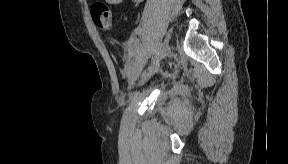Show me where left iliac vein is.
Listing matches in <instances>:
<instances>
[{
    "label": "left iliac vein",
    "instance_id": "obj_1",
    "mask_svg": "<svg viewBox=\"0 0 288 164\" xmlns=\"http://www.w3.org/2000/svg\"><path fill=\"white\" fill-rule=\"evenodd\" d=\"M136 80H137V76H136V75L132 76L131 79H130V84H131V85L134 84V82H135Z\"/></svg>",
    "mask_w": 288,
    "mask_h": 164
}]
</instances>
